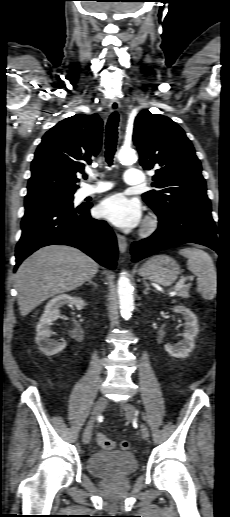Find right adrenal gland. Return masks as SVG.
Wrapping results in <instances>:
<instances>
[{
	"mask_svg": "<svg viewBox=\"0 0 230 517\" xmlns=\"http://www.w3.org/2000/svg\"><path fill=\"white\" fill-rule=\"evenodd\" d=\"M92 284L95 288H98V285L90 279L87 283V285Z\"/></svg>",
	"mask_w": 230,
	"mask_h": 517,
	"instance_id": "2a0ac1e0",
	"label": "right adrenal gland"
}]
</instances>
